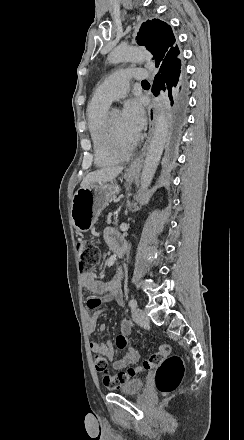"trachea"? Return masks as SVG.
Segmentation results:
<instances>
[{"label": "trachea", "instance_id": "obj_1", "mask_svg": "<svg viewBox=\"0 0 244 440\" xmlns=\"http://www.w3.org/2000/svg\"><path fill=\"white\" fill-rule=\"evenodd\" d=\"M142 83H148V81L147 80H143Z\"/></svg>", "mask_w": 244, "mask_h": 440}]
</instances>
